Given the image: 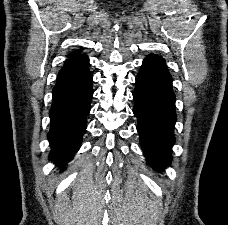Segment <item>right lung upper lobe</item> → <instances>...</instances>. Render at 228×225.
Wrapping results in <instances>:
<instances>
[{
  "mask_svg": "<svg viewBox=\"0 0 228 225\" xmlns=\"http://www.w3.org/2000/svg\"><path fill=\"white\" fill-rule=\"evenodd\" d=\"M81 55H84V54H81V50H78V51H74V52L70 53L68 55V58L69 59L76 58V57L81 56Z\"/></svg>",
  "mask_w": 228,
  "mask_h": 225,
  "instance_id": "right-lung-upper-lobe-1",
  "label": "right lung upper lobe"
}]
</instances>
